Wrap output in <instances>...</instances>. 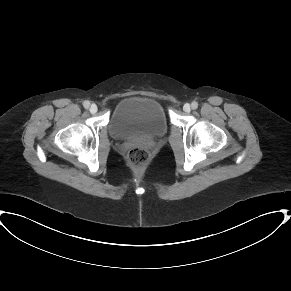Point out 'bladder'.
<instances>
[{
  "instance_id": "bladder-1",
  "label": "bladder",
  "mask_w": 291,
  "mask_h": 291,
  "mask_svg": "<svg viewBox=\"0 0 291 291\" xmlns=\"http://www.w3.org/2000/svg\"><path fill=\"white\" fill-rule=\"evenodd\" d=\"M110 136L121 142L154 140L165 135L167 119L160 104L145 96H128L112 112Z\"/></svg>"
}]
</instances>
